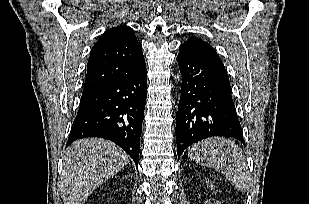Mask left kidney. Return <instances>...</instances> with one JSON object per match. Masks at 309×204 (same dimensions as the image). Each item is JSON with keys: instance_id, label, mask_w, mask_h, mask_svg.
<instances>
[{"instance_id": "obj_1", "label": "left kidney", "mask_w": 309, "mask_h": 204, "mask_svg": "<svg viewBox=\"0 0 309 204\" xmlns=\"http://www.w3.org/2000/svg\"><path fill=\"white\" fill-rule=\"evenodd\" d=\"M207 181V180H206ZM208 186H210L211 188H213V183L208 181Z\"/></svg>"}]
</instances>
